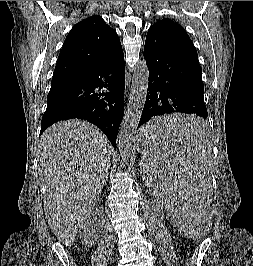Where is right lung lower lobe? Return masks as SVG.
Wrapping results in <instances>:
<instances>
[{"instance_id": "obj_1", "label": "right lung lower lobe", "mask_w": 253, "mask_h": 266, "mask_svg": "<svg viewBox=\"0 0 253 266\" xmlns=\"http://www.w3.org/2000/svg\"><path fill=\"white\" fill-rule=\"evenodd\" d=\"M106 88L108 92H99ZM124 55L58 86L48 97L42 117V132L55 122L87 120L99 127L116 148L118 129L124 114Z\"/></svg>"}]
</instances>
